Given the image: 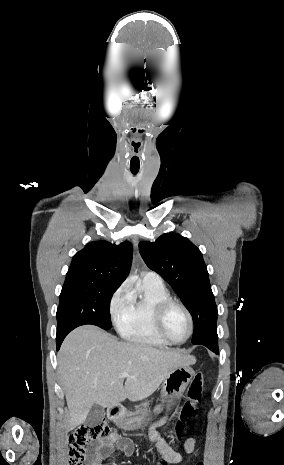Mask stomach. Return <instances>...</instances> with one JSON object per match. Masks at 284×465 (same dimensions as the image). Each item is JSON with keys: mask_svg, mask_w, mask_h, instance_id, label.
I'll list each match as a JSON object with an SVG mask.
<instances>
[{"mask_svg": "<svg viewBox=\"0 0 284 465\" xmlns=\"http://www.w3.org/2000/svg\"><path fill=\"white\" fill-rule=\"evenodd\" d=\"M194 371L189 365L173 369L162 383L161 401L166 403L167 411H170L173 405H176L178 399L182 397L186 387L193 379ZM153 417L150 411H138V413H121L119 417H114L113 421L123 431H135L141 425H149Z\"/></svg>", "mask_w": 284, "mask_h": 465, "instance_id": "obj_1", "label": "stomach"}]
</instances>
